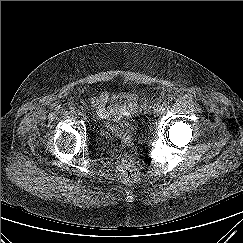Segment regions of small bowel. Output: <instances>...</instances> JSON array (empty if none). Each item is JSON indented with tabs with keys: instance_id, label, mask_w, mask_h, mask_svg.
<instances>
[{
	"instance_id": "obj_1",
	"label": "small bowel",
	"mask_w": 243,
	"mask_h": 243,
	"mask_svg": "<svg viewBox=\"0 0 243 243\" xmlns=\"http://www.w3.org/2000/svg\"><path fill=\"white\" fill-rule=\"evenodd\" d=\"M90 104L100 119L116 123L131 117L138 108V100L133 94H111L106 90L101 91L98 96L91 98ZM116 127L114 126V128Z\"/></svg>"
}]
</instances>
